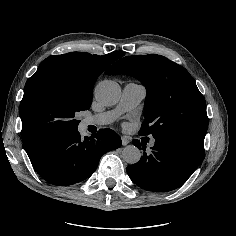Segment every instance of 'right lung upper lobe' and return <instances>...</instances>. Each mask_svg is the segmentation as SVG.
I'll return each instance as SVG.
<instances>
[{"label": "right lung upper lobe", "mask_w": 236, "mask_h": 236, "mask_svg": "<svg viewBox=\"0 0 236 236\" xmlns=\"http://www.w3.org/2000/svg\"><path fill=\"white\" fill-rule=\"evenodd\" d=\"M123 55L124 53L119 52L103 56L84 52L53 55L42 61L36 73L29 79L55 74L74 79L82 89H90L93 88L95 81L104 69ZM37 150L26 152L31 157Z\"/></svg>", "instance_id": "obj_1"}]
</instances>
